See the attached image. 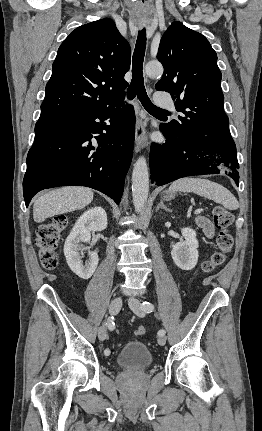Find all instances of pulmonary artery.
<instances>
[{
    "label": "pulmonary artery",
    "mask_w": 262,
    "mask_h": 431,
    "mask_svg": "<svg viewBox=\"0 0 262 431\" xmlns=\"http://www.w3.org/2000/svg\"><path fill=\"white\" fill-rule=\"evenodd\" d=\"M155 102L160 107H165L169 109L173 108V102L171 101V99L162 92H157L155 94Z\"/></svg>",
    "instance_id": "e3ab8cb5"
}]
</instances>
